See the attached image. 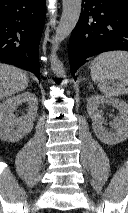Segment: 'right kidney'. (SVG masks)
<instances>
[{"mask_svg": "<svg viewBox=\"0 0 128 213\" xmlns=\"http://www.w3.org/2000/svg\"><path fill=\"white\" fill-rule=\"evenodd\" d=\"M28 103L27 114L17 118L14 111L22 103ZM38 109V99L34 93L23 92L0 103V139L18 142L33 129Z\"/></svg>", "mask_w": 128, "mask_h": 213, "instance_id": "ca27d5eb", "label": "right kidney"}]
</instances>
